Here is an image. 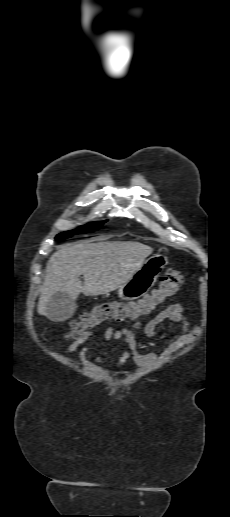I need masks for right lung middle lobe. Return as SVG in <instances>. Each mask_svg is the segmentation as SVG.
<instances>
[{
  "label": "right lung middle lobe",
  "mask_w": 230,
  "mask_h": 517,
  "mask_svg": "<svg viewBox=\"0 0 230 517\" xmlns=\"http://www.w3.org/2000/svg\"><path fill=\"white\" fill-rule=\"evenodd\" d=\"M104 222H106V221H104ZM102 224H103V222L90 223V224H87L85 226L80 227L76 232L67 231V232H63L61 234H58L55 239L56 240H62V239L71 237L74 234L85 233V232H92L94 230H97V229L101 228Z\"/></svg>",
  "instance_id": "obj_1"
}]
</instances>
